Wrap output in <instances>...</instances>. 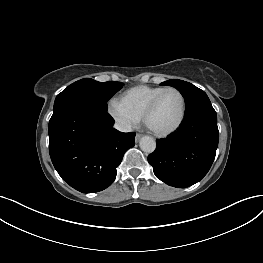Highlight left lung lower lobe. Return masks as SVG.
<instances>
[{"label": "left lung lower lobe", "mask_w": 263, "mask_h": 263, "mask_svg": "<svg viewBox=\"0 0 263 263\" xmlns=\"http://www.w3.org/2000/svg\"><path fill=\"white\" fill-rule=\"evenodd\" d=\"M217 114L212 105L185 114L179 129L157 140L148 156L154 174L166 184L185 188L200 181L209 171L218 146Z\"/></svg>", "instance_id": "0a47b994"}]
</instances>
